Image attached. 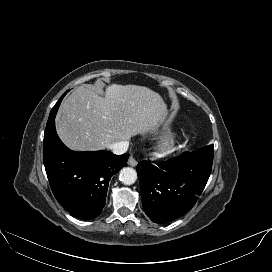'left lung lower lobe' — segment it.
I'll return each instance as SVG.
<instances>
[{
	"mask_svg": "<svg viewBox=\"0 0 272 272\" xmlns=\"http://www.w3.org/2000/svg\"><path fill=\"white\" fill-rule=\"evenodd\" d=\"M213 154L209 145L162 164L138 163L142 205L153 222L167 223L191 210L209 179Z\"/></svg>",
	"mask_w": 272,
	"mask_h": 272,
	"instance_id": "1",
	"label": "left lung lower lobe"
}]
</instances>
